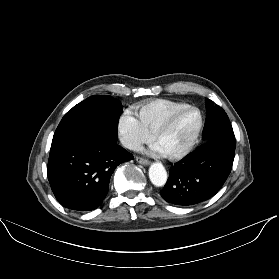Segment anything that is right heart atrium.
Masks as SVG:
<instances>
[{"label": "right heart atrium", "mask_w": 279, "mask_h": 279, "mask_svg": "<svg viewBox=\"0 0 279 279\" xmlns=\"http://www.w3.org/2000/svg\"><path fill=\"white\" fill-rule=\"evenodd\" d=\"M117 134L123 146L132 151L139 150L152 140V135L130 110L123 111L118 117Z\"/></svg>", "instance_id": "d8ad5b80"}]
</instances>
